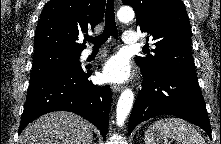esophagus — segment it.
<instances>
[{"label": "esophagus", "mask_w": 221, "mask_h": 144, "mask_svg": "<svg viewBox=\"0 0 221 144\" xmlns=\"http://www.w3.org/2000/svg\"><path fill=\"white\" fill-rule=\"evenodd\" d=\"M111 89L113 92L117 93L123 90V86L122 85H117V84H112L111 85Z\"/></svg>", "instance_id": "34e87169"}]
</instances>
